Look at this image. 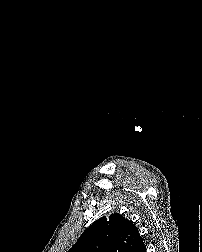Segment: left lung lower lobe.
<instances>
[{
    "label": "left lung lower lobe",
    "mask_w": 202,
    "mask_h": 252,
    "mask_svg": "<svg viewBox=\"0 0 202 252\" xmlns=\"http://www.w3.org/2000/svg\"><path fill=\"white\" fill-rule=\"evenodd\" d=\"M135 252H146V247L144 245V242L141 236L139 238V243L137 245Z\"/></svg>",
    "instance_id": "0a47b994"
}]
</instances>
